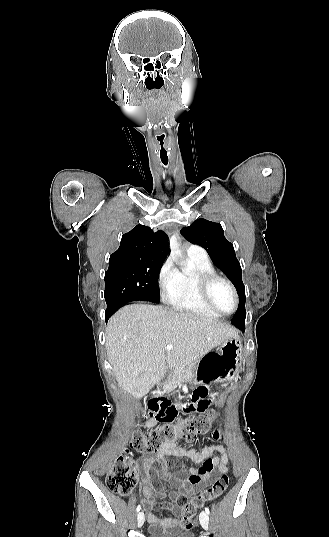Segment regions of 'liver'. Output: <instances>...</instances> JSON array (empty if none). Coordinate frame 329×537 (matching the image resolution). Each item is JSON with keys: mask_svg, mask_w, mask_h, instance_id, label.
Returning <instances> with one entry per match:
<instances>
[{"mask_svg": "<svg viewBox=\"0 0 329 537\" xmlns=\"http://www.w3.org/2000/svg\"><path fill=\"white\" fill-rule=\"evenodd\" d=\"M230 325L163 306L132 304L118 310L106 328V351L119 387L142 398L167 367L196 362L230 337ZM173 348L165 354L167 345ZM167 363V364H166Z\"/></svg>", "mask_w": 329, "mask_h": 537, "instance_id": "liver-1", "label": "liver"}]
</instances>
